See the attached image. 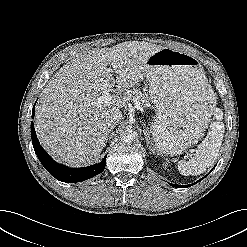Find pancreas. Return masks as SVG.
<instances>
[{
    "mask_svg": "<svg viewBox=\"0 0 247 247\" xmlns=\"http://www.w3.org/2000/svg\"><path fill=\"white\" fill-rule=\"evenodd\" d=\"M132 99L134 101L138 102L139 104H142V105H143V103L148 102L147 98L145 97V95L141 91H138V90H134L132 92Z\"/></svg>",
    "mask_w": 247,
    "mask_h": 247,
    "instance_id": "cf45deb5",
    "label": "pancreas"
}]
</instances>
